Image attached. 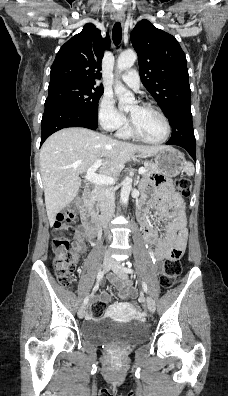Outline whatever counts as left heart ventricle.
<instances>
[{
  "instance_id": "left-heart-ventricle-1",
  "label": "left heart ventricle",
  "mask_w": 228,
  "mask_h": 396,
  "mask_svg": "<svg viewBox=\"0 0 228 396\" xmlns=\"http://www.w3.org/2000/svg\"><path fill=\"white\" fill-rule=\"evenodd\" d=\"M129 115L134 126L144 138L151 141L163 138L165 126L158 114L135 104L129 109Z\"/></svg>"
}]
</instances>
